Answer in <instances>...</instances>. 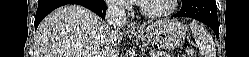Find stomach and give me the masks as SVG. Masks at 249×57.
<instances>
[{
    "label": "stomach",
    "mask_w": 249,
    "mask_h": 57,
    "mask_svg": "<svg viewBox=\"0 0 249 57\" xmlns=\"http://www.w3.org/2000/svg\"><path fill=\"white\" fill-rule=\"evenodd\" d=\"M132 34L144 42H152L160 47L174 49L184 42L186 28L177 20L165 19L158 20Z\"/></svg>",
    "instance_id": "stomach-1"
}]
</instances>
